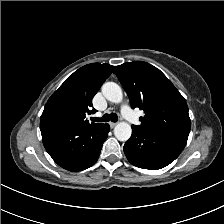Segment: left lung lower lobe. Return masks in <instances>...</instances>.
Listing matches in <instances>:
<instances>
[{"mask_svg": "<svg viewBox=\"0 0 224 224\" xmlns=\"http://www.w3.org/2000/svg\"><path fill=\"white\" fill-rule=\"evenodd\" d=\"M185 145L183 140L132 126V135L124 145V152L131 164L155 170L174 161Z\"/></svg>", "mask_w": 224, "mask_h": 224, "instance_id": "0a47b994", "label": "left lung lower lobe"}]
</instances>
